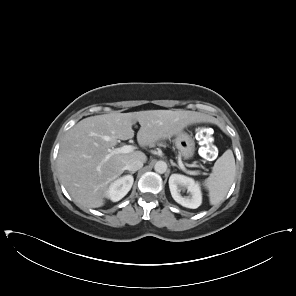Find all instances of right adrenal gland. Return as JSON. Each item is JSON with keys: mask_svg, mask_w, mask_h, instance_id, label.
Instances as JSON below:
<instances>
[{"mask_svg": "<svg viewBox=\"0 0 296 296\" xmlns=\"http://www.w3.org/2000/svg\"><path fill=\"white\" fill-rule=\"evenodd\" d=\"M129 173L132 175V174H134V173H135V171H131V172H129Z\"/></svg>", "mask_w": 296, "mask_h": 296, "instance_id": "1", "label": "right adrenal gland"}]
</instances>
